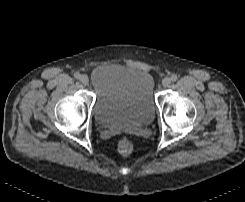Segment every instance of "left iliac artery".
Here are the masks:
<instances>
[{
	"mask_svg": "<svg viewBox=\"0 0 245 202\" xmlns=\"http://www.w3.org/2000/svg\"><path fill=\"white\" fill-rule=\"evenodd\" d=\"M177 79H178V77H177L176 74H173V75L171 76V80H172V81H176Z\"/></svg>",
	"mask_w": 245,
	"mask_h": 202,
	"instance_id": "obj_1",
	"label": "left iliac artery"
}]
</instances>
